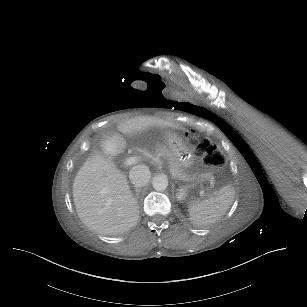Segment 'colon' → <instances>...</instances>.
<instances>
[{
  "label": "colon",
  "mask_w": 307,
  "mask_h": 307,
  "mask_svg": "<svg viewBox=\"0 0 307 307\" xmlns=\"http://www.w3.org/2000/svg\"><path fill=\"white\" fill-rule=\"evenodd\" d=\"M202 144L205 152L204 155L205 163L214 168L223 167L225 165V158L223 154L209 141H203Z\"/></svg>",
  "instance_id": "5ec220e1"
}]
</instances>
